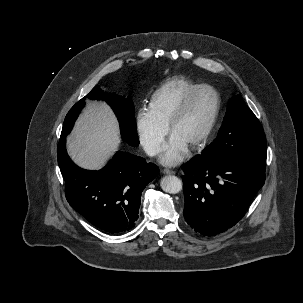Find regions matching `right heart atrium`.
Masks as SVG:
<instances>
[{
    "mask_svg": "<svg viewBox=\"0 0 303 303\" xmlns=\"http://www.w3.org/2000/svg\"><path fill=\"white\" fill-rule=\"evenodd\" d=\"M135 127L147 154L150 156L159 154L167 135V125L161 123L149 109L141 108L136 114Z\"/></svg>",
    "mask_w": 303,
    "mask_h": 303,
    "instance_id": "d8ad5b80",
    "label": "right heart atrium"
}]
</instances>
